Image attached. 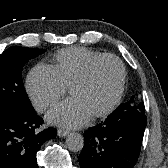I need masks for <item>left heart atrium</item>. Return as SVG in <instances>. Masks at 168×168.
<instances>
[{"label": "left heart atrium", "mask_w": 168, "mask_h": 168, "mask_svg": "<svg viewBox=\"0 0 168 168\" xmlns=\"http://www.w3.org/2000/svg\"><path fill=\"white\" fill-rule=\"evenodd\" d=\"M92 116L87 104L77 96H72L52 108L47 119L50 123L69 128L86 124Z\"/></svg>", "instance_id": "1"}]
</instances>
